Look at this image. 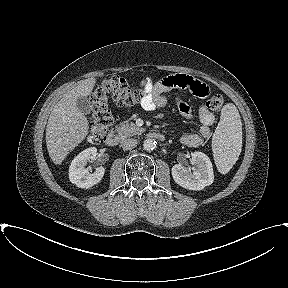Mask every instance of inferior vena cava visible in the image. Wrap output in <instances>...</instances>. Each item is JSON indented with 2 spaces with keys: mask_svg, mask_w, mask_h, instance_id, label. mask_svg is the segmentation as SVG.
I'll return each instance as SVG.
<instances>
[{
  "mask_svg": "<svg viewBox=\"0 0 288 288\" xmlns=\"http://www.w3.org/2000/svg\"><path fill=\"white\" fill-rule=\"evenodd\" d=\"M121 146L123 150H131L137 146V140L133 138H127L122 141Z\"/></svg>",
  "mask_w": 288,
  "mask_h": 288,
  "instance_id": "602c4592",
  "label": "inferior vena cava"
}]
</instances>
